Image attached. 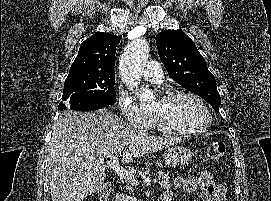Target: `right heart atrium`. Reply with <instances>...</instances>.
Listing matches in <instances>:
<instances>
[{"label":"right heart atrium","instance_id":"d8ad5b80","mask_svg":"<svg viewBox=\"0 0 271 201\" xmlns=\"http://www.w3.org/2000/svg\"><path fill=\"white\" fill-rule=\"evenodd\" d=\"M119 106L124 119L130 126L145 130L154 122L151 115L144 113L136 103L125 94L120 95Z\"/></svg>","mask_w":271,"mask_h":201}]
</instances>
